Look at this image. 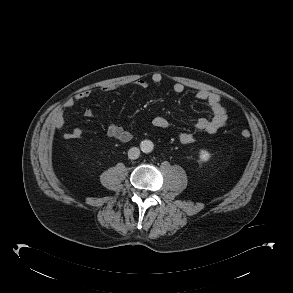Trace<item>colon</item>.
Returning <instances> with one entry per match:
<instances>
[{
    "label": "colon",
    "instance_id": "1",
    "mask_svg": "<svg viewBox=\"0 0 293 293\" xmlns=\"http://www.w3.org/2000/svg\"><path fill=\"white\" fill-rule=\"evenodd\" d=\"M250 132L248 131V130H243L242 132H241V137L243 138V139H248L249 137H250Z\"/></svg>",
    "mask_w": 293,
    "mask_h": 293
}]
</instances>
